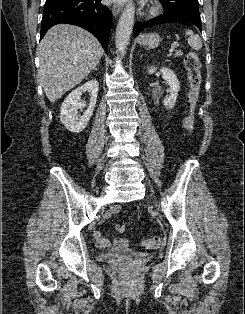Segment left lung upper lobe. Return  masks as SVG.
I'll list each match as a JSON object with an SVG mask.
<instances>
[{"label": "left lung upper lobe", "mask_w": 245, "mask_h": 314, "mask_svg": "<svg viewBox=\"0 0 245 314\" xmlns=\"http://www.w3.org/2000/svg\"><path fill=\"white\" fill-rule=\"evenodd\" d=\"M165 8L169 13L175 12H192L199 14L198 0H163Z\"/></svg>", "instance_id": "1"}]
</instances>
